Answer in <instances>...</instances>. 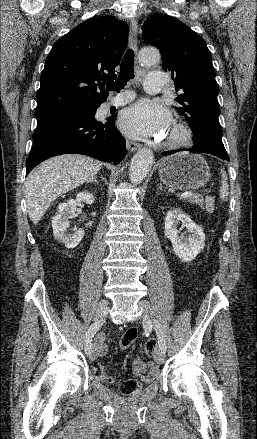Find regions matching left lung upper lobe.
<instances>
[{
  "label": "left lung upper lobe",
  "mask_w": 257,
  "mask_h": 439,
  "mask_svg": "<svg viewBox=\"0 0 257 439\" xmlns=\"http://www.w3.org/2000/svg\"><path fill=\"white\" fill-rule=\"evenodd\" d=\"M142 29L144 41L160 50L163 69L172 73L179 93L177 111L190 124L194 145L224 147L218 120L219 90L205 40L180 20L159 13L147 18Z\"/></svg>",
  "instance_id": "obj_1"
}]
</instances>
